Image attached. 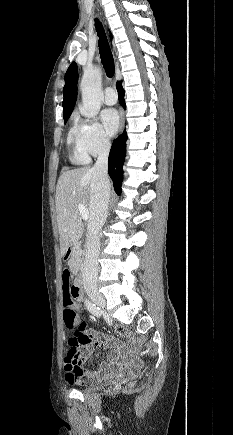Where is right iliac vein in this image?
Listing matches in <instances>:
<instances>
[{"label":"right iliac vein","mask_w":233,"mask_h":435,"mask_svg":"<svg viewBox=\"0 0 233 435\" xmlns=\"http://www.w3.org/2000/svg\"><path fill=\"white\" fill-rule=\"evenodd\" d=\"M88 295L91 298V300L99 307L104 308L106 305L105 299L103 296L96 291H88Z\"/></svg>","instance_id":"obj_1"}]
</instances>
